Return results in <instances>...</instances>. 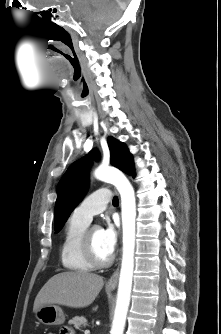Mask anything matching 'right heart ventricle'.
Returning a JSON list of instances; mask_svg holds the SVG:
<instances>
[{
  "instance_id": "e07e8e85",
  "label": "right heart ventricle",
  "mask_w": 221,
  "mask_h": 334,
  "mask_svg": "<svg viewBox=\"0 0 221 334\" xmlns=\"http://www.w3.org/2000/svg\"><path fill=\"white\" fill-rule=\"evenodd\" d=\"M88 224L76 218L73 214L66 223L60 248V258L64 268L69 271L86 273L94 268L86 259L81 245L82 236Z\"/></svg>"
}]
</instances>
